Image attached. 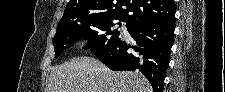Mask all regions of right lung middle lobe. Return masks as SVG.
<instances>
[{
	"label": "right lung middle lobe",
	"mask_w": 225,
	"mask_h": 92,
	"mask_svg": "<svg viewBox=\"0 0 225 92\" xmlns=\"http://www.w3.org/2000/svg\"><path fill=\"white\" fill-rule=\"evenodd\" d=\"M118 24L121 26V23ZM114 25L113 22L80 20L72 23L70 27L57 29L53 38L55 57L58 58L65 49L81 38L88 39V44L84 49H90L92 52L105 50L120 42L121 33L117 29L113 30ZM127 27L129 31L130 27Z\"/></svg>",
	"instance_id": "obj_1"
}]
</instances>
